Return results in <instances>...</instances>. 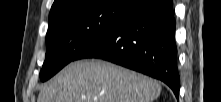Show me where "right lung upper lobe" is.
I'll use <instances>...</instances> for the list:
<instances>
[{"label": "right lung upper lobe", "mask_w": 221, "mask_h": 102, "mask_svg": "<svg viewBox=\"0 0 221 102\" xmlns=\"http://www.w3.org/2000/svg\"><path fill=\"white\" fill-rule=\"evenodd\" d=\"M82 1H84V0H55L52 7H51L49 17H51L61 11H64L66 9H69L71 7H74L77 4L81 3ZM130 1L133 4V6L136 7L144 0H130Z\"/></svg>", "instance_id": "1"}]
</instances>
